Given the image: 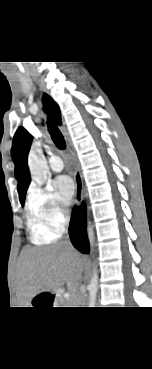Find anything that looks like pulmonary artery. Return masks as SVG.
<instances>
[{
  "mask_svg": "<svg viewBox=\"0 0 152 369\" xmlns=\"http://www.w3.org/2000/svg\"><path fill=\"white\" fill-rule=\"evenodd\" d=\"M50 167L55 172H60L64 169V163L58 155H53L50 159Z\"/></svg>",
  "mask_w": 152,
  "mask_h": 369,
  "instance_id": "1",
  "label": "pulmonary artery"
}]
</instances>
